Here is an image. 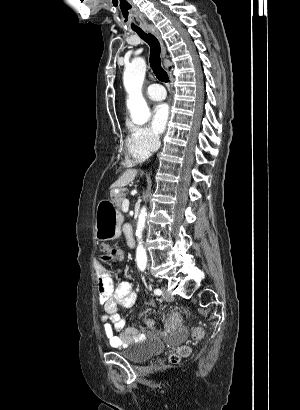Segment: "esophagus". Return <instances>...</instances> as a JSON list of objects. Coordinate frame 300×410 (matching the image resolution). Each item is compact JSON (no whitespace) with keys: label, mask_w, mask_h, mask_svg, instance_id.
Wrapping results in <instances>:
<instances>
[{"label":"esophagus","mask_w":300,"mask_h":410,"mask_svg":"<svg viewBox=\"0 0 300 410\" xmlns=\"http://www.w3.org/2000/svg\"><path fill=\"white\" fill-rule=\"evenodd\" d=\"M145 29H146L147 31H149L150 33H152V34L157 38V40L159 41V43H160V45H161L162 57H165V55H166V47H165V45H164V42H163V40H162V37H161L160 32H159V31L157 30V28H156L155 26H153V25H146V26H145Z\"/></svg>","instance_id":"34e87169"}]
</instances>
